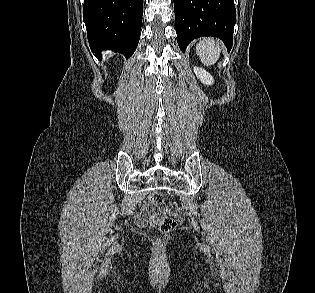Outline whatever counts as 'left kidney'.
<instances>
[{"mask_svg": "<svg viewBox=\"0 0 315 293\" xmlns=\"http://www.w3.org/2000/svg\"><path fill=\"white\" fill-rule=\"evenodd\" d=\"M194 72L197 78L205 85H212L214 82V79L210 73L205 71L204 69L200 67H194Z\"/></svg>", "mask_w": 315, "mask_h": 293, "instance_id": "1", "label": "left kidney"}]
</instances>
